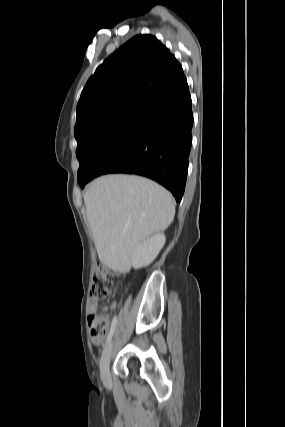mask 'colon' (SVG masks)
Segmentation results:
<instances>
[{
  "label": "colon",
  "instance_id": "colon-1",
  "mask_svg": "<svg viewBox=\"0 0 285 427\" xmlns=\"http://www.w3.org/2000/svg\"><path fill=\"white\" fill-rule=\"evenodd\" d=\"M117 276L103 266H98L93 272L90 296L92 300L102 302L114 291V278ZM108 309L101 312H92L88 318L90 335L95 343H99L106 335L109 327Z\"/></svg>",
  "mask_w": 285,
  "mask_h": 427
}]
</instances>
